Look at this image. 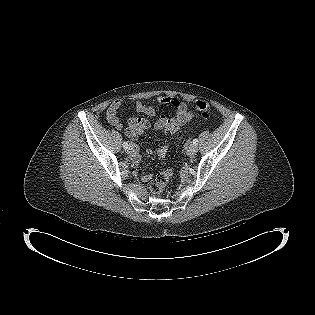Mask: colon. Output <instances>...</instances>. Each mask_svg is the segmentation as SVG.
Wrapping results in <instances>:
<instances>
[{
    "instance_id": "colon-1",
    "label": "colon",
    "mask_w": 315,
    "mask_h": 315,
    "mask_svg": "<svg viewBox=\"0 0 315 315\" xmlns=\"http://www.w3.org/2000/svg\"><path fill=\"white\" fill-rule=\"evenodd\" d=\"M192 106L195 110L200 111L201 113H203L204 115H207V116L209 115V113L211 111L210 104L204 100H196V101H194ZM140 120L141 119H133L131 121V124L138 122ZM178 136H179V138H182L183 132H180L178 134ZM172 176H173L172 170H166V171L158 173L156 176L155 182L152 183L150 186L151 192L154 194L161 193Z\"/></svg>"
}]
</instances>
